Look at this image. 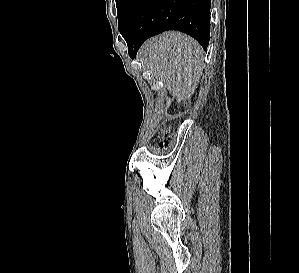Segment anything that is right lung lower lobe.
Listing matches in <instances>:
<instances>
[{"instance_id": "obj_1", "label": "right lung lower lobe", "mask_w": 299, "mask_h": 273, "mask_svg": "<svg viewBox=\"0 0 299 273\" xmlns=\"http://www.w3.org/2000/svg\"><path fill=\"white\" fill-rule=\"evenodd\" d=\"M211 0H134L121 34L131 58L143 42L166 30H179L195 38L206 50L210 37Z\"/></svg>"}]
</instances>
